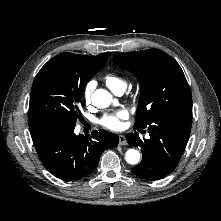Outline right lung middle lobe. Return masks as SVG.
I'll return each instance as SVG.
<instances>
[{"label": "right lung middle lobe", "instance_id": "obj_1", "mask_svg": "<svg viewBox=\"0 0 221 221\" xmlns=\"http://www.w3.org/2000/svg\"><path fill=\"white\" fill-rule=\"evenodd\" d=\"M98 71L86 65L83 55L64 52L49 60L32 85L30 126L74 129L82 118L80 108L84 86Z\"/></svg>", "mask_w": 221, "mask_h": 221}]
</instances>
